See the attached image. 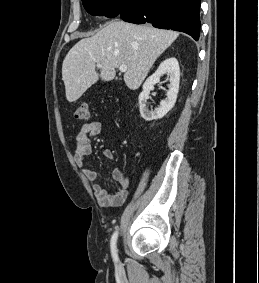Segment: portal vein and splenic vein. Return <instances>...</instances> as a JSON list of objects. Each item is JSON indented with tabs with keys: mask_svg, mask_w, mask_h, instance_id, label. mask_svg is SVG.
<instances>
[{
	"mask_svg": "<svg viewBox=\"0 0 259 283\" xmlns=\"http://www.w3.org/2000/svg\"><path fill=\"white\" fill-rule=\"evenodd\" d=\"M97 67H101V64H100V63H97ZM119 70H120L121 72H126V71H127V66H126V65H121V66L119 67Z\"/></svg>",
	"mask_w": 259,
	"mask_h": 283,
	"instance_id": "1",
	"label": "portal vein and splenic vein"
}]
</instances>
